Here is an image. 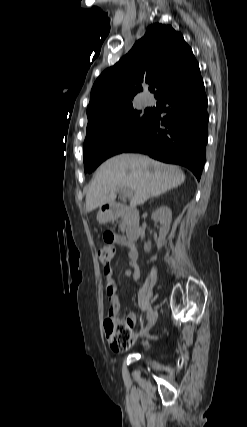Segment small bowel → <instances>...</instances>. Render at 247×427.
<instances>
[{
	"label": "small bowel",
	"mask_w": 247,
	"mask_h": 427,
	"mask_svg": "<svg viewBox=\"0 0 247 427\" xmlns=\"http://www.w3.org/2000/svg\"><path fill=\"white\" fill-rule=\"evenodd\" d=\"M104 243L107 246H110L113 242L125 246L128 248L127 252V260L128 264L133 267V270H126V275L128 277H132L134 281H137L140 277V271L137 266L138 253L133 245H129L126 243L125 238L121 235L114 234L112 229H105L103 232ZM104 273L106 276V293L110 302L108 316L116 317L121 308V300L117 294V285L112 277V269L110 266H106L104 269ZM132 328L136 322V314L130 312L127 314L125 321Z\"/></svg>",
	"instance_id": "small-bowel-1"
}]
</instances>
